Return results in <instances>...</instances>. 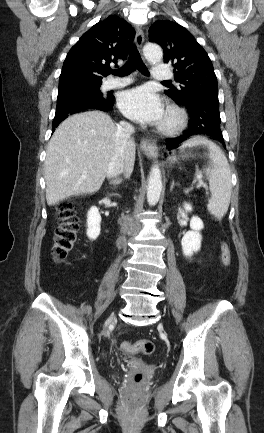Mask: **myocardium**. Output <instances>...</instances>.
Listing matches in <instances>:
<instances>
[{
  "label": "myocardium",
  "instance_id": "obj_1",
  "mask_svg": "<svg viewBox=\"0 0 264 433\" xmlns=\"http://www.w3.org/2000/svg\"><path fill=\"white\" fill-rule=\"evenodd\" d=\"M186 123L187 115L185 111L176 105H170L158 129L163 134L174 135L180 132Z\"/></svg>",
  "mask_w": 264,
  "mask_h": 433
}]
</instances>
